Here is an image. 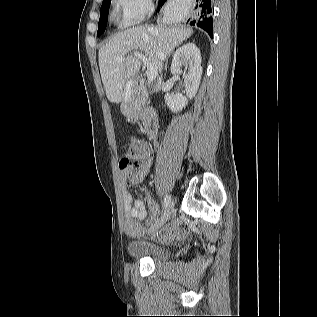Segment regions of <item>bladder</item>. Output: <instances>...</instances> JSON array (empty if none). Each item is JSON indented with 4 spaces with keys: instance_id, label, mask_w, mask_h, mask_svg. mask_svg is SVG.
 Masks as SVG:
<instances>
[{
    "instance_id": "1",
    "label": "bladder",
    "mask_w": 317,
    "mask_h": 317,
    "mask_svg": "<svg viewBox=\"0 0 317 317\" xmlns=\"http://www.w3.org/2000/svg\"><path fill=\"white\" fill-rule=\"evenodd\" d=\"M128 254L134 259H152L164 261L170 258L171 253L165 247L157 243L134 240L128 246Z\"/></svg>"
}]
</instances>
